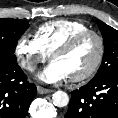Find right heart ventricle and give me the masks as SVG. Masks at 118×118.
I'll use <instances>...</instances> for the list:
<instances>
[{
  "label": "right heart ventricle",
  "instance_id": "1",
  "mask_svg": "<svg viewBox=\"0 0 118 118\" xmlns=\"http://www.w3.org/2000/svg\"><path fill=\"white\" fill-rule=\"evenodd\" d=\"M88 30V26L79 20L57 19L40 25L35 38L45 52H52L73 35Z\"/></svg>",
  "mask_w": 118,
  "mask_h": 118
}]
</instances>
